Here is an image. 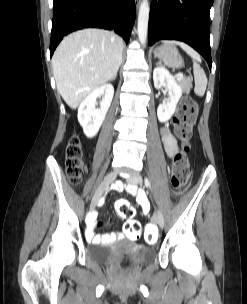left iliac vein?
Listing matches in <instances>:
<instances>
[{"instance_id":"obj_1","label":"left iliac vein","mask_w":247,"mask_h":304,"mask_svg":"<svg viewBox=\"0 0 247 304\" xmlns=\"http://www.w3.org/2000/svg\"><path fill=\"white\" fill-rule=\"evenodd\" d=\"M128 183L133 185H138L142 183V177L139 174H135L127 179ZM154 220L159 225L160 228L164 227V217L162 212L157 209L154 215Z\"/></svg>"}]
</instances>
